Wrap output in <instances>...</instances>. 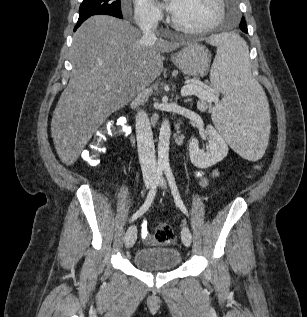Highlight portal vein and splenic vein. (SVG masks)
<instances>
[{
    "mask_svg": "<svg viewBox=\"0 0 307 317\" xmlns=\"http://www.w3.org/2000/svg\"><path fill=\"white\" fill-rule=\"evenodd\" d=\"M105 89H110V86L106 84ZM181 95H195L203 101L218 103V97L212 91H207L197 84H187L183 86Z\"/></svg>",
    "mask_w": 307,
    "mask_h": 317,
    "instance_id": "portal-vein-and-splenic-vein-1",
    "label": "portal vein and splenic vein"
}]
</instances>
